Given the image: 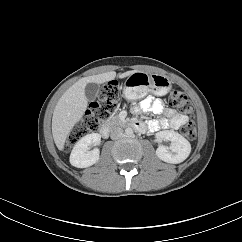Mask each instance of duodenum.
Listing matches in <instances>:
<instances>
[{"instance_id": "1", "label": "duodenum", "mask_w": 242, "mask_h": 242, "mask_svg": "<svg viewBox=\"0 0 242 242\" xmlns=\"http://www.w3.org/2000/svg\"><path fill=\"white\" fill-rule=\"evenodd\" d=\"M130 126L135 127V124L131 123ZM109 133H110V127L108 125L103 126L100 130V134L102 137H105V138L108 137Z\"/></svg>"}]
</instances>
